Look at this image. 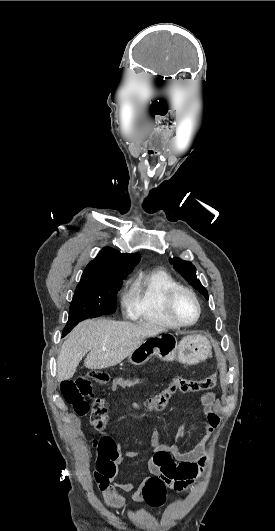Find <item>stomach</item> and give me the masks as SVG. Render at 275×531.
Returning a JSON list of instances; mask_svg holds the SVG:
<instances>
[{"label": "stomach", "mask_w": 275, "mask_h": 531, "mask_svg": "<svg viewBox=\"0 0 275 531\" xmlns=\"http://www.w3.org/2000/svg\"><path fill=\"white\" fill-rule=\"evenodd\" d=\"M159 357L161 361H178L182 365H198L212 355L210 341L204 335H187L180 343L172 333H160L154 337L143 339L130 355L131 365H145L151 357Z\"/></svg>", "instance_id": "1"}]
</instances>
